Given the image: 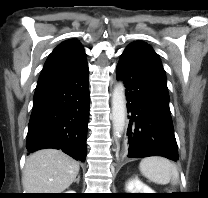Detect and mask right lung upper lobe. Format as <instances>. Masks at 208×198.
Returning <instances> with one entry per match:
<instances>
[{
    "label": "right lung upper lobe",
    "instance_id": "1",
    "mask_svg": "<svg viewBox=\"0 0 208 198\" xmlns=\"http://www.w3.org/2000/svg\"><path fill=\"white\" fill-rule=\"evenodd\" d=\"M85 57L84 49L77 40L61 43L48 57L37 86L73 74L87 63Z\"/></svg>",
    "mask_w": 208,
    "mask_h": 198
}]
</instances>
